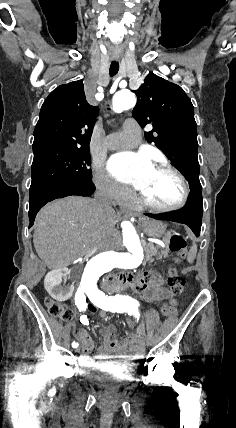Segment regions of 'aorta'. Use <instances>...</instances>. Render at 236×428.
I'll return each instance as SVG.
<instances>
[{
    "label": "aorta",
    "instance_id": "obj_1",
    "mask_svg": "<svg viewBox=\"0 0 236 428\" xmlns=\"http://www.w3.org/2000/svg\"><path fill=\"white\" fill-rule=\"evenodd\" d=\"M135 104V95L128 90H123L114 95L112 109L116 113H121L134 107ZM122 235L123 245L127 249L125 252L105 251L87 262L80 278L82 293L88 295L98 293L99 278L106 272L114 268L134 269L142 263L145 251L134 226L130 222H125L122 225Z\"/></svg>",
    "mask_w": 236,
    "mask_h": 428
}]
</instances>
